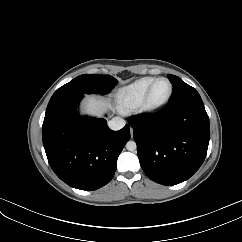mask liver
Listing matches in <instances>:
<instances>
[{
	"label": "liver",
	"mask_w": 242,
	"mask_h": 242,
	"mask_svg": "<svg viewBox=\"0 0 242 242\" xmlns=\"http://www.w3.org/2000/svg\"><path fill=\"white\" fill-rule=\"evenodd\" d=\"M105 105L111 108L109 101L102 100L94 95L87 96L82 104V113L100 117Z\"/></svg>",
	"instance_id": "1"
}]
</instances>
